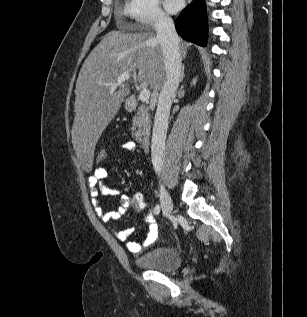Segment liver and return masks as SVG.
Listing matches in <instances>:
<instances>
[{"mask_svg":"<svg viewBox=\"0 0 307 317\" xmlns=\"http://www.w3.org/2000/svg\"><path fill=\"white\" fill-rule=\"evenodd\" d=\"M187 46L182 42L183 55ZM124 72L133 74L142 88L157 91L163 87L166 80L164 59L152 31L108 33L80 69L75 89L72 141L83 172H92L98 139L130 93L126 85L114 90L110 86Z\"/></svg>","mask_w":307,"mask_h":317,"instance_id":"obj_1","label":"liver"}]
</instances>
